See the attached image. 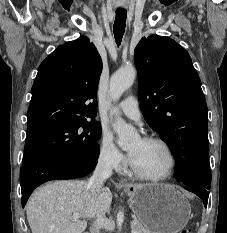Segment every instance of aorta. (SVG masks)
<instances>
[{
	"instance_id": "aorta-1",
	"label": "aorta",
	"mask_w": 227,
	"mask_h": 233,
	"mask_svg": "<svg viewBox=\"0 0 227 233\" xmlns=\"http://www.w3.org/2000/svg\"><path fill=\"white\" fill-rule=\"evenodd\" d=\"M136 77V70L132 67L118 70L111 76L110 79V96L114 101H117L121 95L131 87ZM112 113L115 115L113 129L118 136V145L126 148L137 138V132L128 125L120 116L117 108H113Z\"/></svg>"
}]
</instances>
